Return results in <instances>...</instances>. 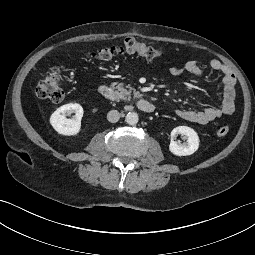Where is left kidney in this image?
Here are the masks:
<instances>
[{
	"mask_svg": "<svg viewBox=\"0 0 255 255\" xmlns=\"http://www.w3.org/2000/svg\"><path fill=\"white\" fill-rule=\"evenodd\" d=\"M176 134H181L187 138L186 144H178L173 140ZM199 148V137L197 132L188 126H178L171 132V142L169 150L176 156H187L196 152Z\"/></svg>",
	"mask_w": 255,
	"mask_h": 255,
	"instance_id": "left-kidney-1",
	"label": "left kidney"
}]
</instances>
